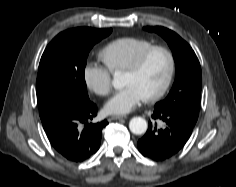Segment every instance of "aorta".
Here are the masks:
<instances>
[{"label": "aorta", "mask_w": 236, "mask_h": 187, "mask_svg": "<svg viewBox=\"0 0 236 187\" xmlns=\"http://www.w3.org/2000/svg\"><path fill=\"white\" fill-rule=\"evenodd\" d=\"M112 85L116 89L122 88L121 74L116 72L112 81ZM148 124L142 117H134L129 122V129L133 134L141 135L146 132Z\"/></svg>", "instance_id": "obj_1"}]
</instances>
